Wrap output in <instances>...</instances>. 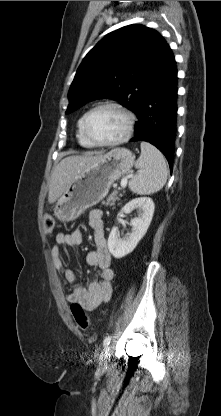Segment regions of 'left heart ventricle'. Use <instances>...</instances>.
I'll use <instances>...</instances> for the list:
<instances>
[{
    "label": "left heart ventricle",
    "mask_w": 221,
    "mask_h": 416,
    "mask_svg": "<svg viewBox=\"0 0 221 416\" xmlns=\"http://www.w3.org/2000/svg\"><path fill=\"white\" fill-rule=\"evenodd\" d=\"M126 119L117 109L106 107L95 111L88 119L87 130L98 141L118 138L125 130Z\"/></svg>",
    "instance_id": "b2bd125f"
}]
</instances>
